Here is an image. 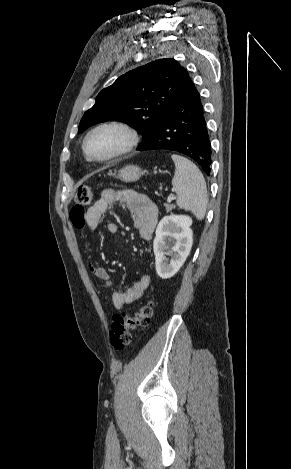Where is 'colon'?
Listing matches in <instances>:
<instances>
[{
    "instance_id": "1",
    "label": "colon",
    "mask_w": 291,
    "mask_h": 469,
    "mask_svg": "<svg viewBox=\"0 0 291 469\" xmlns=\"http://www.w3.org/2000/svg\"><path fill=\"white\" fill-rule=\"evenodd\" d=\"M93 191L88 186H80L76 193V202L71 214L79 218L85 206L93 203ZM153 313V304L151 301L143 303L137 311L129 313L123 311L116 313L112 318L109 329L110 343L117 351H122L131 343V332L138 327H146Z\"/></svg>"
}]
</instances>
